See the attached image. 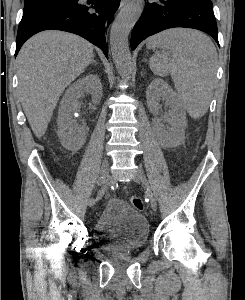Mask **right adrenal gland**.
<instances>
[{"mask_svg": "<svg viewBox=\"0 0 245 300\" xmlns=\"http://www.w3.org/2000/svg\"><path fill=\"white\" fill-rule=\"evenodd\" d=\"M91 63H93V64H97V62H96L94 59L91 61Z\"/></svg>", "mask_w": 245, "mask_h": 300, "instance_id": "right-adrenal-gland-1", "label": "right adrenal gland"}]
</instances>
